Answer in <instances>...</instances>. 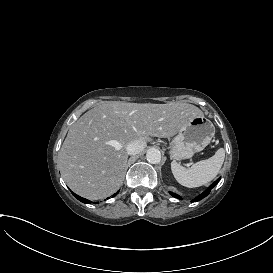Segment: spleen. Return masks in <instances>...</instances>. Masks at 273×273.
I'll list each match as a JSON object with an SVG mask.
<instances>
[{"mask_svg":"<svg viewBox=\"0 0 273 273\" xmlns=\"http://www.w3.org/2000/svg\"><path fill=\"white\" fill-rule=\"evenodd\" d=\"M225 159V150L219 148L209 159L200 161L190 168L172 162L176 180L187 188L201 187L212 181L219 173Z\"/></svg>","mask_w":273,"mask_h":273,"instance_id":"obj_1","label":"spleen"}]
</instances>
